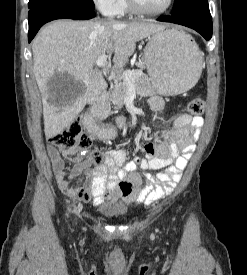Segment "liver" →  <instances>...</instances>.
<instances>
[{
	"label": "liver",
	"instance_id": "obj_1",
	"mask_svg": "<svg viewBox=\"0 0 247 275\" xmlns=\"http://www.w3.org/2000/svg\"><path fill=\"white\" fill-rule=\"evenodd\" d=\"M165 26L152 22L57 20L44 27L32 44L33 72L43 103L44 132L52 138L71 125L86 104H94L106 90L97 59L111 57L122 68L136 42ZM56 73L79 82L75 95H50L47 83Z\"/></svg>",
	"mask_w": 247,
	"mask_h": 275
}]
</instances>
